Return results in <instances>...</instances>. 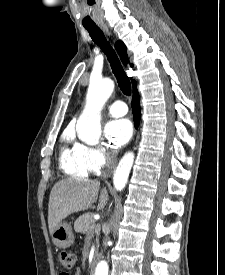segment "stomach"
<instances>
[{"label":"stomach","instance_id":"obj_1","mask_svg":"<svg viewBox=\"0 0 225 275\" xmlns=\"http://www.w3.org/2000/svg\"><path fill=\"white\" fill-rule=\"evenodd\" d=\"M53 243L59 248H68L74 243L71 224L60 223L51 234Z\"/></svg>","mask_w":225,"mask_h":275}]
</instances>
